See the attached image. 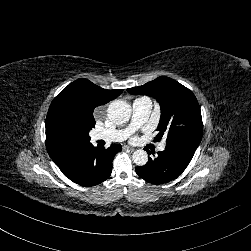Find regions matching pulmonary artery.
<instances>
[{"instance_id":"obj_1","label":"pulmonary artery","mask_w":251,"mask_h":251,"mask_svg":"<svg viewBox=\"0 0 251 251\" xmlns=\"http://www.w3.org/2000/svg\"><path fill=\"white\" fill-rule=\"evenodd\" d=\"M152 111V101L149 98L142 97L135 99L132 103V126L136 130H142L146 125V119ZM125 130H110L106 131L101 137L107 141L119 142L126 137ZM159 150L163 151L167 147L166 141L160 142Z\"/></svg>"}]
</instances>
